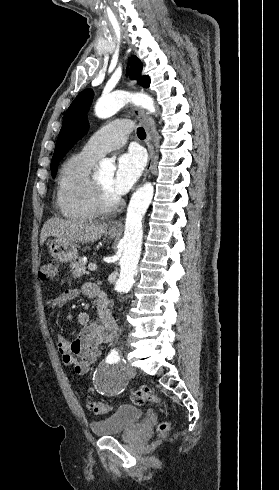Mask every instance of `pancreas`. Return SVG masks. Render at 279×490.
<instances>
[{
    "instance_id": "obj_1",
    "label": "pancreas",
    "mask_w": 279,
    "mask_h": 490,
    "mask_svg": "<svg viewBox=\"0 0 279 490\" xmlns=\"http://www.w3.org/2000/svg\"><path fill=\"white\" fill-rule=\"evenodd\" d=\"M70 268L73 278H82V276L87 274L86 266L83 264V262H70Z\"/></svg>"
}]
</instances>
